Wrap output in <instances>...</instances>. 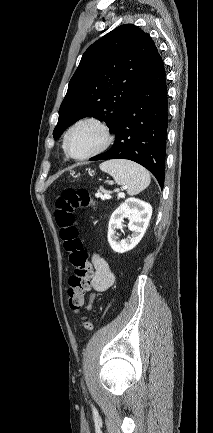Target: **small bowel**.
Returning a JSON list of instances; mask_svg holds the SVG:
<instances>
[{
	"instance_id": "c3829d8e",
	"label": "small bowel",
	"mask_w": 213,
	"mask_h": 433,
	"mask_svg": "<svg viewBox=\"0 0 213 433\" xmlns=\"http://www.w3.org/2000/svg\"><path fill=\"white\" fill-rule=\"evenodd\" d=\"M94 272L91 278V294L89 297V308L94 300L95 293L104 292L110 288L115 281V274L109 263L99 254H93L91 257Z\"/></svg>"
}]
</instances>
